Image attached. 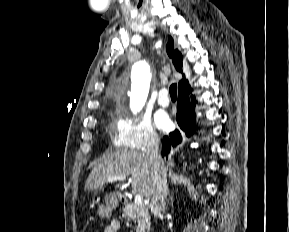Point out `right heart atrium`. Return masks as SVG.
<instances>
[{
  "label": "right heart atrium",
  "mask_w": 289,
  "mask_h": 232,
  "mask_svg": "<svg viewBox=\"0 0 289 232\" xmlns=\"http://www.w3.org/2000/svg\"><path fill=\"white\" fill-rule=\"evenodd\" d=\"M158 134L150 120L119 117L112 126V142L116 149L147 151L156 147Z\"/></svg>",
  "instance_id": "obj_1"
}]
</instances>
